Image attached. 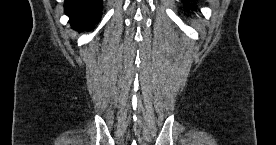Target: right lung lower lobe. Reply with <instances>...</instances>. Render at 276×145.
<instances>
[{"label":"right lung lower lobe","instance_id":"obj_1","mask_svg":"<svg viewBox=\"0 0 276 145\" xmlns=\"http://www.w3.org/2000/svg\"><path fill=\"white\" fill-rule=\"evenodd\" d=\"M64 7L72 28L88 31L100 17L102 0H65Z\"/></svg>","mask_w":276,"mask_h":145}]
</instances>
